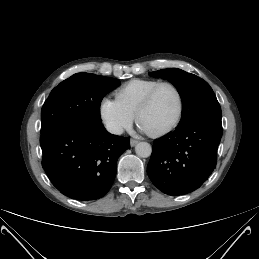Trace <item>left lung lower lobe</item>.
<instances>
[{
    "instance_id": "obj_1",
    "label": "left lung lower lobe",
    "mask_w": 259,
    "mask_h": 259,
    "mask_svg": "<svg viewBox=\"0 0 259 259\" xmlns=\"http://www.w3.org/2000/svg\"><path fill=\"white\" fill-rule=\"evenodd\" d=\"M221 121L198 119L154 141L147 173L152 183L171 196L198 189L217 163Z\"/></svg>"
}]
</instances>
